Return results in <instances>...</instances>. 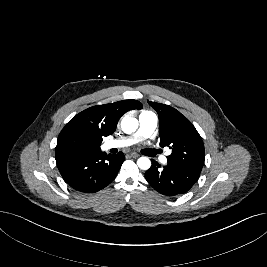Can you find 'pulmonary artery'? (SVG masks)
<instances>
[{"label":"pulmonary artery","instance_id":"obj_1","mask_svg":"<svg viewBox=\"0 0 267 267\" xmlns=\"http://www.w3.org/2000/svg\"><path fill=\"white\" fill-rule=\"evenodd\" d=\"M157 125H158V118L153 112H148V111L143 112L139 116V129L135 134L121 139L106 141L103 144V148L105 150H109L112 148L127 147L140 140L147 139L155 131ZM160 161L163 164L167 163L166 156H162Z\"/></svg>","mask_w":267,"mask_h":267}]
</instances>
